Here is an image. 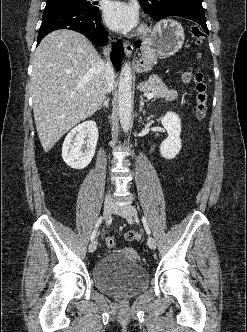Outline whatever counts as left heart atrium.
<instances>
[{
    "label": "left heart atrium",
    "mask_w": 247,
    "mask_h": 332,
    "mask_svg": "<svg viewBox=\"0 0 247 332\" xmlns=\"http://www.w3.org/2000/svg\"><path fill=\"white\" fill-rule=\"evenodd\" d=\"M139 13L135 5L126 1H111L104 8L106 24L116 31H129L136 27Z\"/></svg>",
    "instance_id": "left-heart-atrium-1"
}]
</instances>
